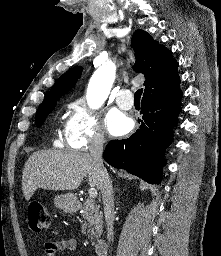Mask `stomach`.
Returning a JSON list of instances; mask_svg holds the SVG:
<instances>
[{"instance_id": "obj_1", "label": "stomach", "mask_w": 221, "mask_h": 256, "mask_svg": "<svg viewBox=\"0 0 221 256\" xmlns=\"http://www.w3.org/2000/svg\"><path fill=\"white\" fill-rule=\"evenodd\" d=\"M76 203V197L71 193L57 195L54 199L55 206L67 213H71L76 210Z\"/></svg>"}]
</instances>
